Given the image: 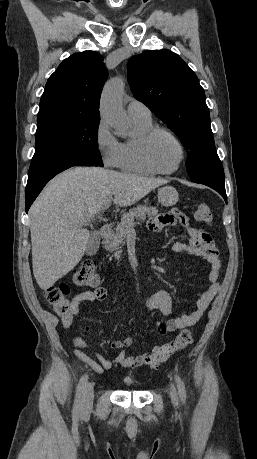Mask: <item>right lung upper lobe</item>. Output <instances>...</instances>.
<instances>
[{"instance_id": "obj_1", "label": "right lung upper lobe", "mask_w": 257, "mask_h": 459, "mask_svg": "<svg viewBox=\"0 0 257 459\" xmlns=\"http://www.w3.org/2000/svg\"><path fill=\"white\" fill-rule=\"evenodd\" d=\"M107 77L108 71L99 53L84 51L71 55L48 79L39 113L65 111L99 117L98 104Z\"/></svg>"}]
</instances>
